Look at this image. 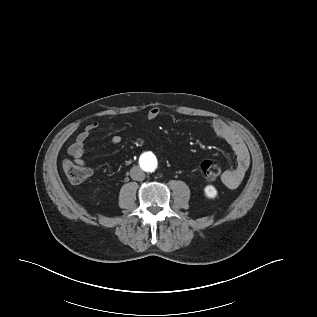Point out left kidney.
Masks as SVG:
<instances>
[{
  "mask_svg": "<svg viewBox=\"0 0 317 317\" xmlns=\"http://www.w3.org/2000/svg\"><path fill=\"white\" fill-rule=\"evenodd\" d=\"M205 195L209 198H214L217 195V190L212 185H208L204 189Z\"/></svg>",
  "mask_w": 317,
  "mask_h": 317,
  "instance_id": "5707ae66",
  "label": "left kidney"
}]
</instances>
